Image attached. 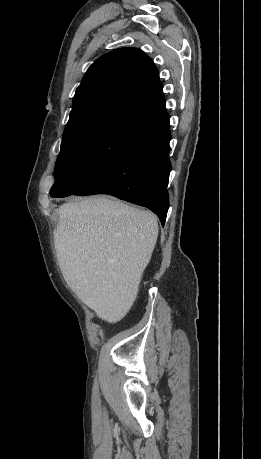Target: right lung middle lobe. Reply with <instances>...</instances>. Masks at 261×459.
Segmentation results:
<instances>
[{"mask_svg": "<svg viewBox=\"0 0 261 459\" xmlns=\"http://www.w3.org/2000/svg\"><path fill=\"white\" fill-rule=\"evenodd\" d=\"M151 128L146 124L119 122L63 140L50 195H72L129 151Z\"/></svg>", "mask_w": 261, "mask_h": 459, "instance_id": "obj_1", "label": "right lung middle lobe"}]
</instances>
